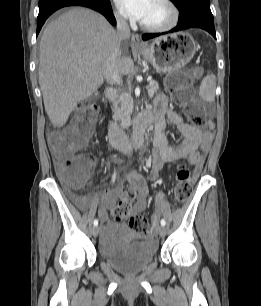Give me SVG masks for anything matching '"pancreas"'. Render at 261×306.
<instances>
[{"mask_svg":"<svg viewBox=\"0 0 261 306\" xmlns=\"http://www.w3.org/2000/svg\"><path fill=\"white\" fill-rule=\"evenodd\" d=\"M159 89V85L156 81H150L149 83V96L152 97ZM113 118L119 121L121 126H127L130 124V115L133 111V100L130 93H122L118 99L113 102Z\"/></svg>","mask_w":261,"mask_h":306,"instance_id":"cf45deb5","label":"pancreas"}]
</instances>
